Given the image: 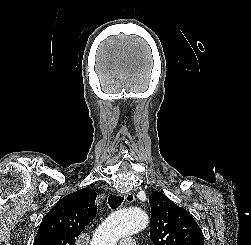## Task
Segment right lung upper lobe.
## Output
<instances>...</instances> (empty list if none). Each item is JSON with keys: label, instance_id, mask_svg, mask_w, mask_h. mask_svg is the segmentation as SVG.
<instances>
[{"label": "right lung upper lobe", "instance_id": "1", "mask_svg": "<svg viewBox=\"0 0 251 245\" xmlns=\"http://www.w3.org/2000/svg\"><path fill=\"white\" fill-rule=\"evenodd\" d=\"M97 194L83 188L62 198L44 217L33 245H74L94 219Z\"/></svg>", "mask_w": 251, "mask_h": 245}]
</instances>
